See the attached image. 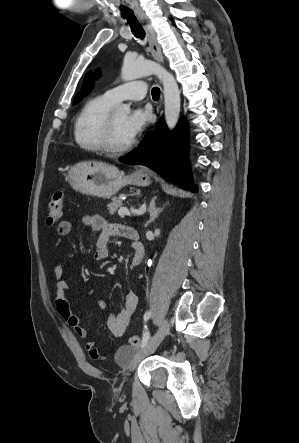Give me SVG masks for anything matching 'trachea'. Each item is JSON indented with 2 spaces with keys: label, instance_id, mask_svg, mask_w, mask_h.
<instances>
[{
  "label": "trachea",
  "instance_id": "3493384b",
  "mask_svg": "<svg viewBox=\"0 0 299 443\" xmlns=\"http://www.w3.org/2000/svg\"><path fill=\"white\" fill-rule=\"evenodd\" d=\"M124 15H125L124 18L127 20L128 24L130 25L133 35L136 38L143 40L145 37V32H144L142 25L139 23L136 16L134 15V13L133 12H125ZM151 94H152V97L154 100L159 99L160 89L158 87H154L152 89Z\"/></svg>",
  "mask_w": 299,
  "mask_h": 443
}]
</instances>
